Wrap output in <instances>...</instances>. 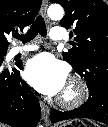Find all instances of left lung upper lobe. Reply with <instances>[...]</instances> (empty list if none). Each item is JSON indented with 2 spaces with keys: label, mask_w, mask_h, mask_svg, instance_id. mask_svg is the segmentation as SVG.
Segmentation results:
<instances>
[{
  "label": "left lung upper lobe",
  "mask_w": 108,
  "mask_h": 127,
  "mask_svg": "<svg viewBox=\"0 0 108 127\" xmlns=\"http://www.w3.org/2000/svg\"><path fill=\"white\" fill-rule=\"evenodd\" d=\"M61 4V26L73 28V48L63 58L86 80L87 86L104 78L108 84V6L102 0H52ZM101 81V80H100Z\"/></svg>",
  "instance_id": "left-lung-upper-lobe-1"
}]
</instances>
